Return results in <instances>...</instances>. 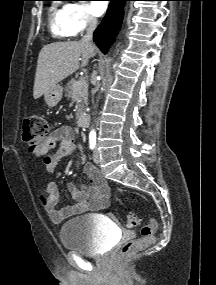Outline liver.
Segmentation results:
<instances>
[{
  "label": "liver",
  "mask_w": 216,
  "mask_h": 285,
  "mask_svg": "<svg viewBox=\"0 0 216 285\" xmlns=\"http://www.w3.org/2000/svg\"><path fill=\"white\" fill-rule=\"evenodd\" d=\"M95 55V47L83 41L56 42L45 45L39 53L33 97L40 98L60 81L87 65Z\"/></svg>",
  "instance_id": "liver-1"
}]
</instances>
